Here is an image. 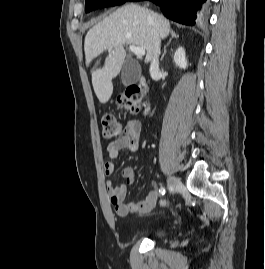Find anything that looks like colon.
I'll return each instance as SVG.
<instances>
[{
  "mask_svg": "<svg viewBox=\"0 0 265 269\" xmlns=\"http://www.w3.org/2000/svg\"><path fill=\"white\" fill-rule=\"evenodd\" d=\"M142 97V89L137 85H132L118 96L117 107L125 112L135 113L139 110ZM102 136L105 140H113L122 133V126L112 114H105L102 117Z\"/></svg>",
  "mask_w": 265,
  "mask_h": 269,
  "instance_id": "5ec220e1",
  "label": "colon"
}]
</instances>
